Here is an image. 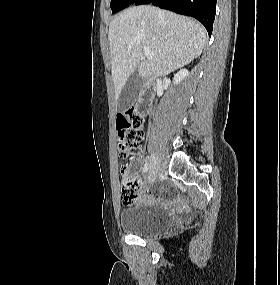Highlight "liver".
I'll list each match as a JSON object with an SVG mask.
<instances>
[{"instance_id":"obj_1","label":"liver","mask_w":280,"mask_h":285,"mask_svg":"<svg viewBox=\"0 0 280 285\" xmlns=\"http://www.w3.org/2000/svg\"><path fill=\"white\" fill-rule=\"evenodd\" d=\"M206 42L205 28L188 17L152 6L127 9L109 25L116 101L135 70L145 81L168 75L199 57ZM144 47L152 60L144 58Z\"/></svg>"}]
</instances>
